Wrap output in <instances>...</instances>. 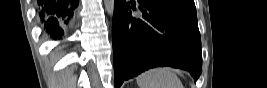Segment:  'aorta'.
Segmentation results:
<instances>
[{
    "instance_id": "aorta-1",
    "label": "aorta",
    "mask_w": 267,
    "mask_h": 88,
    "mask_svg": "<svg viewBox=\"0 0 267 88\" xmlns=\"http://www.w3.org/2000/svg\"><path fill=\"white\" fill-rule=\"evenodd\" d=\"M107 13L112 17L114 14V0H104Z\"/></svg>"
}]
</instances>
